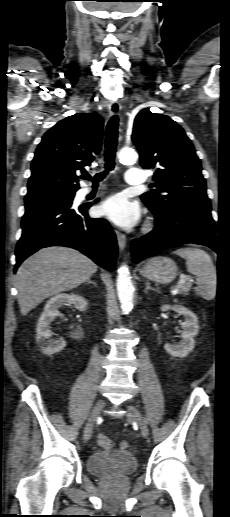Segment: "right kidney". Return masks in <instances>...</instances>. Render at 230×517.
I'll return each instance as SVG.
<instances>
[{"mask_svg":"<svg viewBox=\"0 0 230 517\" xmlns=\"http://www.w3.org/2000/svg\"><path fill=\"white\" fill-rule=\"evenodd\" d=\"M74 304L79 311H86L87 300L76 294H58L47 301L44 311L41 314L36 332V341L41 351L47 355H52L64 349L66 342L63 339H52L50 323L59 315L58 309L63 305Z\"/></svg>","mask_w":230,"mask_h":517,"instance_id":"ca27d5eb","label":"right kidney"}]
</instances>
